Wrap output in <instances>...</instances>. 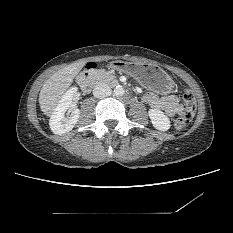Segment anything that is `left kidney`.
Listing matches in <instances>:
<instances>
[{
  "label": "left kidney",
  "mask_w": 233,
  "mask_h": 233,
  "mask_svg": "<svg viewBox=\"0 0 233 233\" xmlns=\"http://www.w3.org/2000/svg\"><path fill=\"white\" fill-rule=\"evenodd\" d=\"M148 114L156 129L160 131H167L170 128V120L161 110L150 109Z\"/></svg>",
  "instance_id": "left-kidney-1"
}]
</instances>
